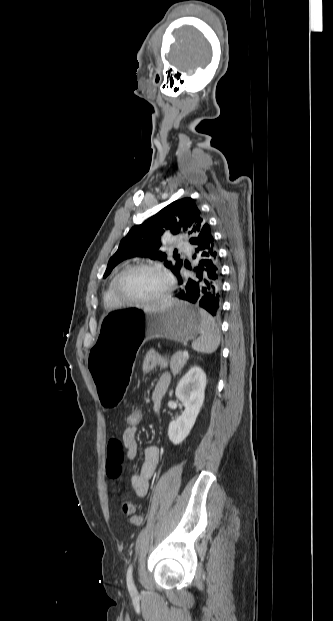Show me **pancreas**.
<instances>
[{
	"mask_svg": "<svg viewBox=\"0 0 333 621\" xmlns=\"http://www.w3.org/2000/svg\"><path fill=\"white\" fill-rule=\"evenodd\" d=\"M188 358L183 357L182 351H177L171 358L170 369L173 375H177L183 366L186 364Z\"/></svg>",
	"mask_w": 333,
	"mask_h": 621,
	"instance_id": "pancreas-1",
	"label": "pancreas"
}]
</instances>
